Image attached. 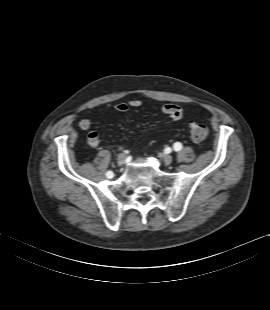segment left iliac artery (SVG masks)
<instances>
[{
    "mask_svg": "<svg viewBox=\"0 0 270 310\" xmlns=\"http://www.w3.org/2000/svg\"><path fill=\"white\" fill-rule=\"evenodd\" d=\"M182 149V144L180 142H176L174 144V150L175 151H180Z\"/></svg>",
    "mask_w": 270,
    "mask_h": 310,
    "instance_id": "left-iliac-artery-1",
    "label": "left iliac artery"
}]
</instances>
